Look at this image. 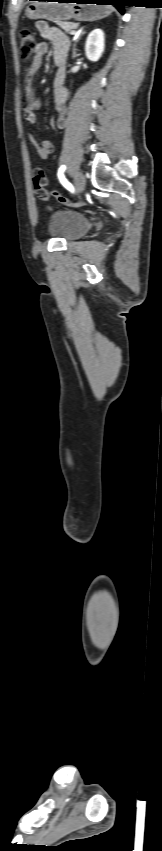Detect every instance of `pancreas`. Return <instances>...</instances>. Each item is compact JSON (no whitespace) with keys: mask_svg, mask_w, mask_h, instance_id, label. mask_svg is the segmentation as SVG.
<instances>
[{"mask_svg":"<svg viewBox=\"0 0 162 851\" xmlns=\"http://www.w3.org/2000/svg\"><path fill=\"white\" fill-rule=\"evenodd\" d=\"M56 24L63 29L66 33H70L78 28L79 24L74 22H61L58 21Z\"/></svg>","mask_w":162,"mask_h":851,"instance_id":"cf45deb5","label":"pancreas"}]
</instances>
